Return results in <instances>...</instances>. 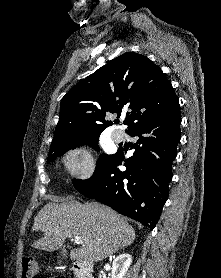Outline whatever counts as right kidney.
Here are the masks:
<instances>
[{
    "mask_svg": "<svg viewBox=\"0 0 221 278\" xmlns=\"http://www.w3.org/2000/svg\"><path fill=\"white\" fill-rule=\"evenodd\" d=\"M132 263L130 254H121L116 257L112 263V276L111 278H123Z\"/></svg>",
    "mask_w": 221,
    "mask_h": 278,
    "instance_id": "right-kidney-1",
    "label": "right kidney"
}]
</instances>
